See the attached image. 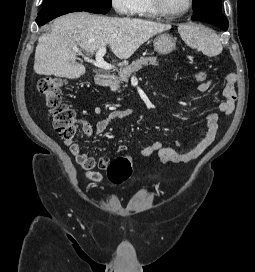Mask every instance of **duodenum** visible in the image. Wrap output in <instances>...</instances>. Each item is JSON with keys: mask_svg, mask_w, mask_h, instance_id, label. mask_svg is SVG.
<instances>
[{"mask_svg": "<svg viewBox=\"0 0 255 272\" xmlns=\"http://www.w3.org/2000/svg\"><path fill=\"white\" fill-rule=\"evenodd\" d=\"M116 79L114 74L110 73H97L95 82L99 87H106L112 84Z\"/></svg>", "mask_w": 255, "mask_h": 272, "instance_id": "obj_1", "label": "duodenum"}]
</instances>
